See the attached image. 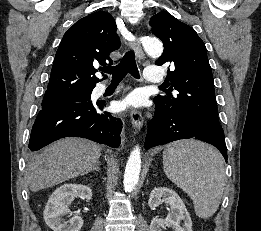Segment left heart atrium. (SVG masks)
<instances>
[{
	"instance_id": "left-heart-atrium-1",
	"label": "left heart atrium",
	"mask_w": 261,
	"mask_h": 231,
	"mask_svg": "<svg viewBox=\"0 0 261 231\" xmlns=\"http://www.w3.org/2000/svg\"><path fill=\"white\" fill-rule=\"evenodd\" d=\"M144 100V95L141 92L134 91L131 94H129L126 98H124L119 103V106L121 108H137L143 105Z\"/></svg>"
}]
</instances>
